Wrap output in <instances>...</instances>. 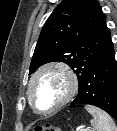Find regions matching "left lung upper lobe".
<instances>
[{
	"label": "left lung upper lobe",
	"instance_id": "5c2ea615",
	"mask_svg": "<svg viewBox=\"0 0 117 131\" xmlns=\"http://www.w3.org/2000/svg\"><path fill=\"white\" fill-rule=\"evenodd\" d=\"M110 44L106 17L96 0H63L41 30L29 75L43 64L61 61L81 84Z\"/></svg>",
	"mask_w": 117,
	"mask_h": 131
}]
</instances>
